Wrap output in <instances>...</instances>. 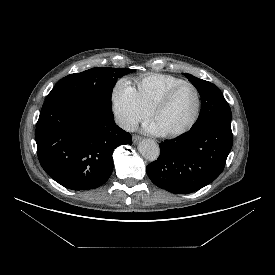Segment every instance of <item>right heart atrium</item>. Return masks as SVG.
<instances>
[{"label": "right heart atrium", "instance_id": "right-heart-atrium-1", "mask_svg": "<svg viewBox=\"0 0 275 275\" xmlns=\"http://www.w3.org/2000/svg\"><path fill=\"white\" fill-rule=\"evenodd\" d=\"M111 99L116 120L125 130L149 116L150 111L140 101L136 89L126 80L115 85Z\"/></svg>", "mask_w": 275, "mask_h": 275}]
</instances>
